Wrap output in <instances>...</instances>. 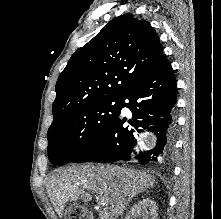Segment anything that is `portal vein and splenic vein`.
Listing matches in <instances>:
<instances>
[{"mask_svg":"<svg viewBox=\"0 0 221 219\" xmlns=\"http://www.w3.org/2000/svg\"><path fill=\"white\" fill-rule=\"evenodd\" d=\"M100 204L103 206L107 205V203L104 200H100Z\"/></svg>","mask_w":221,"mask_h":219,"instance_id":"obj_1","label":"portal vein and splenic vein"}]
</instances>
